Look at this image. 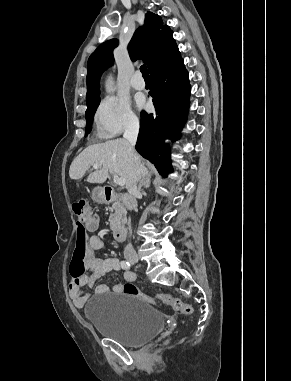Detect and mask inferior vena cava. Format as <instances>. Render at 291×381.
<instances>
[{"instance_id": "602c4592", "label": "inferior vena cava", "mask_w": 291, "mask_h": 381, "mask_svg": "<svg viewBox=\"0 0 291 381\" xmlns=\"http://www.w3.org/2000/svg\"><path fill=\"white\" fill-rule=\"evenodd\" d=\"M138 133H139V122L138 121H132L126 126V129H125V132L123 135L124 139H126L131 146L132 156H133V159L135 162H137V158H136L135 153H134L135 152L134 146H135L136 141H137ZM128 191L133 196H135L138 193L136 182L133 183V185L128 189ZM128 226H129V228H128L129 233L131 235V233H132L131 224L129 223ZM124 253L125 254H134L135 253L131 243H129L125 247Z\"/></svg>"}]
</instances>
